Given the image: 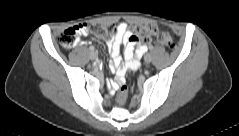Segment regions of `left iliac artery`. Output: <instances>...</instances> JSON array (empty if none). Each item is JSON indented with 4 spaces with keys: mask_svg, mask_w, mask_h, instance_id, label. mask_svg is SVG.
Instances as JSON below:
<instances>
[{
    "mask_svg": "<svg viewBox=\"0 0 239 136\" xmlns=\"http://www.w3.org/2000/svg\"><path fill=\"white\" fill-rule=\"evenodd\" d=\"M153 48H154V46H153V45H150V46H148L147 50H148V49H149V50H150V49L152 50Z\"/></svg>",
    "mask_w": 239,
    "mask_h": 136,
    "instance_id": "1",
    "label": "left iliac artery"
}]
</instances>
